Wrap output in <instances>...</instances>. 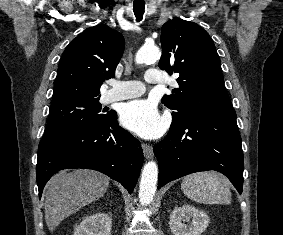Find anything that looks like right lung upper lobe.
Instances as JSON below:
<instances>
[{
  "instance_id": "cb5924a9",
  "label": "right lung upper lobe",
  "mask_w": 283,
  "mask_h": 235,
  "mask_svg": "<svg viewBox=\"0 0 283 235\" xmlns=\"http://www.w3.org/2000/svg\"><path fill=\"white\" fill-rule=\"evenodd\" d=\"M124 45L122 34L104 24L79 34L60 59L52 103L72 97H99L102 82L115 76Z\"/></svg>"
}]
</instances>
